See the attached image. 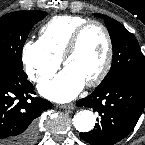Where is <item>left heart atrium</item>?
Returning a JSON list of instances; mask_svg holds the SVG:
<instances>
[{"mask_svg": "<svg viewBox=\"0 0 145 145\" xmlns=\"http://www.w3.org/2000/svg\"><path fill=\"white\" fill-rule=\"evenodd\" d=\"M85 85L84 79L70 67H65L54 79L40 84V93L57 102L73 99Z\"/></svg>", "mask_w": 145, "mask_h": 145, "instance_id": "39dd6f15", "label": "left heart atrium"}]
</instances>
